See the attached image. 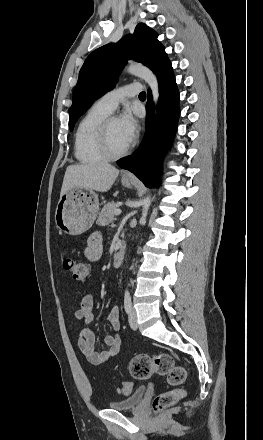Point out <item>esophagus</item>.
I'll use <instances>...</instances> for the list:
<instances>
[{
  "instance_id": "34e87169",
  "label": "esophagus",
  "mask_w": 263,
  "mask_h": 440,
  "mask_svg": "<svg viewBox=\"0 0 263 440\" xmlns=\"http://www.w3.org/2000/svg\"><path fill=\"white\" fill-rule=\"evenodd\" d=\"M123 177L125 178H132V175L129 172H124Z\"/></svg>"
}]
</instances>
